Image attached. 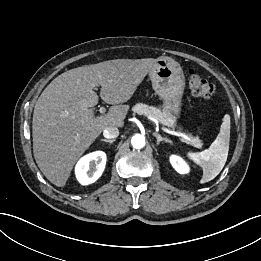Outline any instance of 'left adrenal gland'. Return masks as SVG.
I'll list each match as a JSON object with an SVG mask.
<instances>
[{
    "label": "left adrenal gland",
    "instance_id": "obj_1",
    "mask_svg": "<svg viewBox=\"0 0 261 261\" xmlns=\"http://www.w3.org/2000/svg\"><path fill=\"white\" fill-rule=\"evenodd\" d=\"M153 136L157 138V145H159L161 142H166V143H172L168 138H164L158 133H153Z\"/></svg>",
    "mask_w": 261,
    "mask_h": 261
}]
</instances>
